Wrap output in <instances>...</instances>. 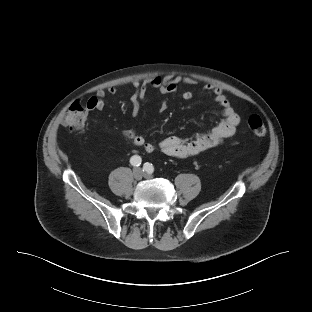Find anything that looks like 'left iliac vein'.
<instances>
[{"label": "left iliac vein", "instance_id": "1", "mask_svg": "<svg viewBox=\"0 0 312 312\" xmlns=\"http://www.w3.org/2000/svg\"><path fill=\"white\" fill-rule=\"evenodd\" d=\"M145 177H146V178H150L151 175H150V174H145Z\"/></svg>", "mask_w": 312, "mask_h": 312}]
</instances>
